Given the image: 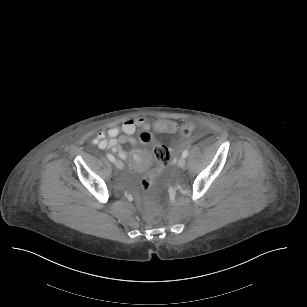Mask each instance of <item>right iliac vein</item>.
I'll return each instance as SVG.
<instances>
[{
    "label": "right iliac vein",
    "instance_id": "63e3f726",
    "mask_svg": "<svg viewBox=\"0 0 307 307\" xmlns=\"http://www.w3.org/2000/svg\"><path fill=\"white\" fill-rule=\"evenodd\" d=\"M114 164H115V166H116L118 169H122V168H123V163H122V161H120V160L114 161Z\"/></svg>",
    "mask_w": 307,
    "mask_h": 307
}]
</instances>
